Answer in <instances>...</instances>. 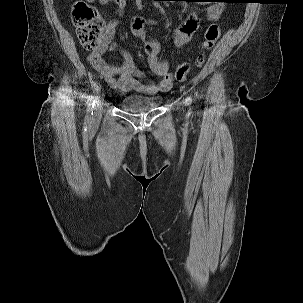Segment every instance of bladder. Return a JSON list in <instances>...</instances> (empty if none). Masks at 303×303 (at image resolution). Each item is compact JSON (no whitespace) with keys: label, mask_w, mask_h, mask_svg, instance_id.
<instances>
[{"label":"bladder","mask_w":303,"mask_h":303,"mask_svg":"<svg viewBox=\"0 0 303 303\" xmlns=\"http://www.w3.org/2000/svg\"><path fill=\"white\" fill-rule=\"evenodd\" d=\"M162 102L163 97L160 94H131L122 97L120 107L126 112L140 113L157 109L161 106Z\"/></svg>","instance_id":"31cf9c89"}]
</instances>
